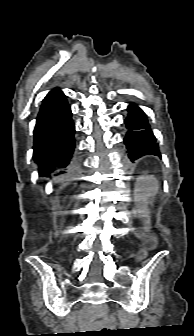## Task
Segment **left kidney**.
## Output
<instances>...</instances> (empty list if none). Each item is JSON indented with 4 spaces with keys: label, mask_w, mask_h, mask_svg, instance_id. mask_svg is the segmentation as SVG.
I'll list each match as a JSON object with an SVG mask.
<instances>
[{
    "label": "left kidney",
    "mask_w": 194,
    "mask_h": 336,
    "mask_svg": "<svg viewBox=\"0 0 194 336\" xmlns=\"http://www.w3.org/2000/svg\"><path fill=\"white\" fill-rule=\"evenodd\" d=\"M158 189L159 183L153 175H142L137 178L134 189V201L140 216H144L143 214L147 210L149 198L154 197Z\"/></svg>",
    "instance_id": "5707ae66"
}]
</instances>
